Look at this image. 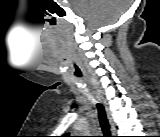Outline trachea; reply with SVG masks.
Wrapping results in <instances>:
<instances>
[{
	"label": "trachea",
	"mask_w": 160,
	"mask_h": 137,
	"mask_svg": "<svg viewBox=\"0 0 160 137\" xmlns=\"http://www.w3.org/2000/svg\"><path fill=\"white\" fill-rule=\"evenodd\" d=\"M76 69L78 73H80V70L78 69V67H76ZM97 109H98L100 125L104 134L103 137H112L109 130V122H108L104 107L101 104H97Z\"/></svg>",
	"instance_id": "3493384b"
}]
</instances>
